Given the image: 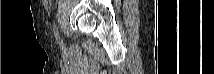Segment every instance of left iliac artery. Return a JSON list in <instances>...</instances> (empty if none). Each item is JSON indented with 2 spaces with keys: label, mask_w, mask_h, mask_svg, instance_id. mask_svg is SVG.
I'll return each mask as SVG.
<instances>
[{
  "label": "left iliac artery",
  "mask_w": 214,
  "mask_h": 74,
  "mask_svg": "<svg viewBox=\"0 0 214 74\" xmlns=\"http://www.w3.org/2000/svg\"><path fill=\"white\" fill-rule=\"evenodd\" d=\"M54 34H55L56 39L60 42V44H63V40L60 38L59 31H58L57 27L54 30Z\"/></svg>",
  "instance_id": "44dca946"
}]
</instances>
